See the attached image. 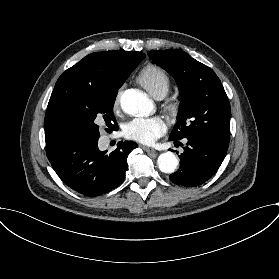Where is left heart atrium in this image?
I'll list each match as a JSON object with an SVG mask.
<instances>
[{
    "label": "left heart atrium",
    "instance_id": "39dd6f15",
    "mask_svg": "<svg viewBox=\"0 0 279 279\" xmlns=\"http://www.w3.org/2000/svg\"><path fill=\"white\" fill-rule=\"evenodd\" d=\"M166 132V125L159 116L135 117L123 126V135L141 144H151Z\"/></svg>",
    "mask_w": 279,
    "mask_h": 279
}]
</instances>
